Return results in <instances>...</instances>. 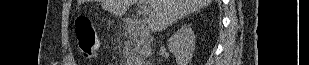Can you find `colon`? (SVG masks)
<instances>
[{
	"label": "colon",
	"instance_id": "1",
	"mask_svg": "<svg viewBox=\"0 0 309 65\" xmlns=\"http://www.w3.org/2000/svg\"><path fill=\"white\" fill-rule=\"evenodd\" d=\"M75 26L79 48L83 56L87 59L96 57L100 44L90 19L80 16L76 19Z\"/></svg>",
	"mask_w": 309,
	"mask_h": 65
}]
</instances>
